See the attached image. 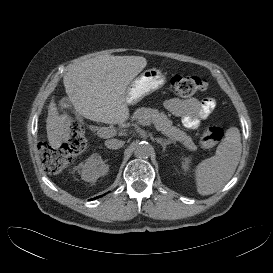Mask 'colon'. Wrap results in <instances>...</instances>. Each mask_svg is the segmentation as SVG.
I'll return each mask as SVG.
<instances>
[{
  "label": "colon",
  "instance_id": "obj_1",
  "mask_svg": "<svg viewBox=\"0 0 273 273\" xmlns=\"http://www.w3.org/2000/svg\"><path fill=\"white\" fill-rule=\"evenodd\" d=\"M171 87L181 97H190L203 93L207 88L204 79L198 76L178 74L172 77ZM224 136V130L217 125H211L203 132L200 140L201 147L211 149L219 143ZM86 148V138L83 128L77 123L72 124L70 138L59 148L42 144L40 155L45 169L50 173L61 172L76 155Z\"/></svg>",
  "mask_w": 273,
  "mask_h": 273
}]
</instances>
